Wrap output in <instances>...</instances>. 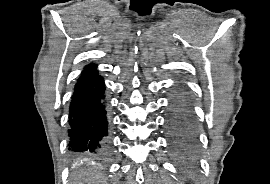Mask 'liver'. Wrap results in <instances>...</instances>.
Segmentation results:
<instances>
[{
  "label": "liver",
  "mask_w": 270,
  "mask_h": 184,
  "mask_svg": "<svg viewBox=\"0 0 270 184\" xmlns=\"http://www.w3.org/2000/svg\"><path fill=\"white\" fill-rule=\"evenodd\" d=\"M83 178L87 179L89 181V184H94L93 181L99 178V174L95 172H89V173H85L83 175Z\"/></svg>",
  "instance_id": "1"
}]
</instances>
